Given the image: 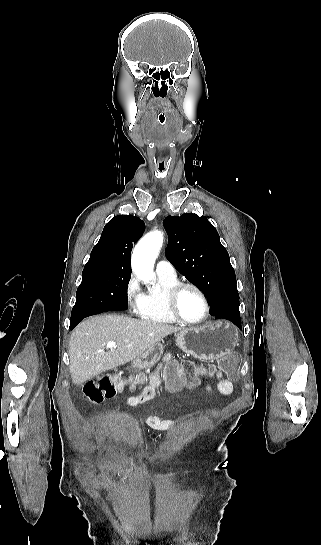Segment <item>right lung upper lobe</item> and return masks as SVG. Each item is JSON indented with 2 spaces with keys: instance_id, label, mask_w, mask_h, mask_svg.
Instances as JSON below:
<instances>
[{
  "instance_id": "obj_1",
  "label": "right lung upper lobe",
  "mask_w": 321,
  "mask_h": 545,
  "mask_svg": "<svg viewBox=\"0 0 321 545\" xmlns=\"http://www.w3.org/2000/svg\"><path fill=\"white\" fill-rule=\"evenodd\" d=\"M144 222L133 215L115 216L104 227L84 270L103 269L116 273H131L130 251L142 236Z\"/></svg>"
}]
</instances>
